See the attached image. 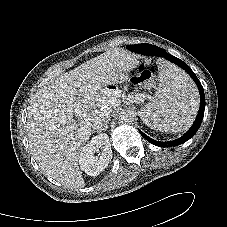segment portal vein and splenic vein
<instances>
[{
	"instance_id": "obj_1",
	"label": "portal vein and splenic vein",
	"mask_w": 227,
	"mask_h": 227,
	"mask_svg": "<svg viewBox=\"0 0 227 227\" xmlns=\"http://www.w3.org/2000/svg\"><path fill=\"white\" fill-rule=\"evenodd\" d=\"M136 96H139V95H136ZM142 96V95H141ZM74 111L77 113V114H79L80 116L82 115V116H85L86 114H85V111H83V110H81L78 106H75L74 107Z\"/></svg>"
}]
</instances>
